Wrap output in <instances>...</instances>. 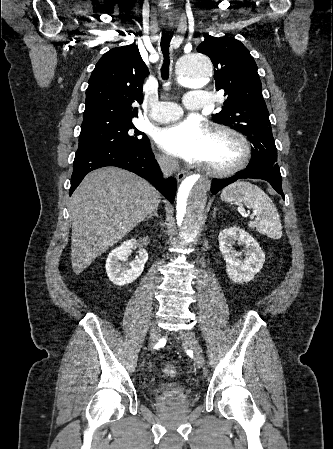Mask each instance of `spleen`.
Instances as JSON below:
<instances>
[{"label": "spleen", "instance_id": "spleen-1", "mask_svg": "<svg viewBox=\"0 0 333 449\" xmlns=\"http://www.w3.org/2000/svg\"><path fill=\"white\" fill-rule=\"evenodd\" d=\"M221 199L238 205L243 203L256 215V219L248 223L250 228H256L257 232L270 238H281L282 224L277 209L269 196L258 186L237 181L222 190Z\"/></svg>", "mask_w": 333, "mask_h": 449}]
</instances>
